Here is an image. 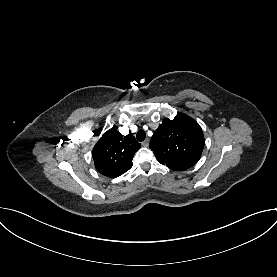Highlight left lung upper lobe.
<instances>
[{"label":"left lung upper lobe","instance_id":"5c2ea615","mask_svg":"<svg viewBox=\"0 0 277 277\" xmlns=\"http://www.w3.org/2000/svg\"><path fill=\"white\" fill-rule=\"evenodd\" d=\"M149 147L157 160L174 170L182 171L195 165L204 147V135L191 117L178 113L166 118L153 134Z\"/></svg>","mask_w":277,"mask_h":277}]
</instances>
